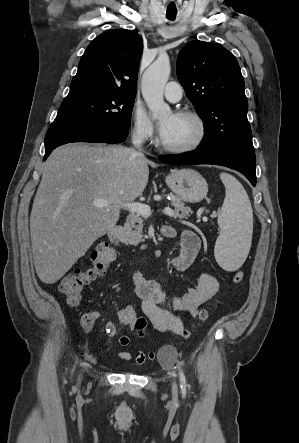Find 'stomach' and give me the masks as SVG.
Segmentation results:
<instances>
[{
  "mask_svg": "<svg viewBox=\"0 0 299 443\" xmlns=\"http://www.w3.org/2000/svg\"><path fill=\"white\" fill-rule=\"evenodd\" d=\"M166 184L177 197L188 203L200 202L208 192L206 180L190 168L172 171L166 177Z\"/></svg>",
  "mask_w": 299,
  "mask_h": 443,
  "instance_id": "0dacf381",
  "label": "stomach"
}]
</instances>
